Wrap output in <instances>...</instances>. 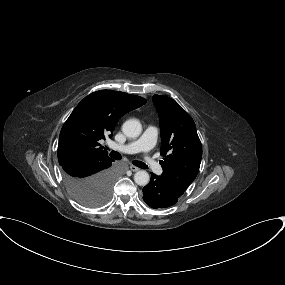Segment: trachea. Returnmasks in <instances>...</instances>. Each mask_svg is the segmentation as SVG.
Wrapping results in <instances>:
<instances>
[{
  "mask_svg": "<svg viewBox=\"0 0 285 285\" xmlns=\"http://www.w3.org/2000/svg\"><path fill=\"white\" fill-rule=\"evenodd\" d=\"M110 156H111L113 159H115V160H120V159H121L120 153L117 152V151H114V150H112V151L110 152ZM132 163H133L135 166L139 167V168H142V169H146V168H147V166H146L143 162H141V161L134 160Z\"/></svg>",
  "mask_w": 285,
  "mask_h": 285,
  "instance_id": "3493384b",
  "label": "trachea"
}]
</instances>
